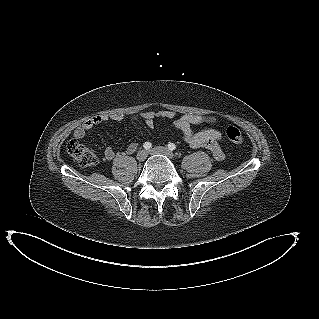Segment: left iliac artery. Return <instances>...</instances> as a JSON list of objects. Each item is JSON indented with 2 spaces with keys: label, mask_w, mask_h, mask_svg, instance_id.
Listing matches in <instances>:
<instances>
[{
  "label": "left iliac artery",
  "mask_w": 319,
  "mask_h": 319,
  "mask_svg": "<svg viewBox=\"0 0 319 319\" xmlns=\"http://www.w3.org/2000/svg\"><path fill=\"white\" fill-rule=\"evenodd\" d=\"M168 149L171 150V151L175 150L176 149V145L174 143H169L168 144Z\"/></svg>",
  "instance_id": "1"
}]
</instances>
